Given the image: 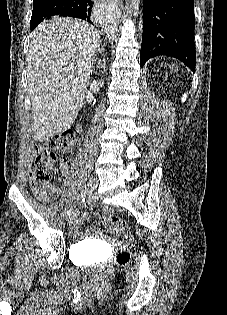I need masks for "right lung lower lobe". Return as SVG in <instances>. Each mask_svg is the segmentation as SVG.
I'll return each instance as SVG.
<instances>
[{
    "instance_id": "98d812e1",
    "label": "right lung lower lobe",
    "mask_w": 227,
    "mask_h": 315,
    "mask_svg": "<svg viewBox=\"0 0 227 315\" xmlns=\"http://www.w3.org/2000/svg\"><path fill=\"white\" fill-rule=\"evenodd\" d=\"M92 4L90 0H75L72 6L63 8L58 16L80 18L92 23L90 20Z\"/></svg>"
}]
</instances>
